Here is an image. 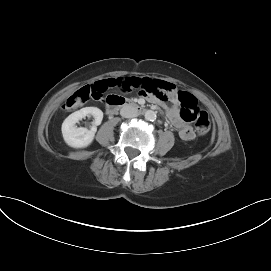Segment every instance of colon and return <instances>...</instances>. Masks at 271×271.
<instances>
[{"label":"colon","instance_id":"obj_1","mask_svg":"<svg viewBox=\"0 0 271 271\" xmlns=\"http://www.w3.org/2000/svg\"><path fill=\"white\" fill-rule=\"evenodd\" d=\"M122 85L120 82L118 86ZM158 89H162L161 87ZM105 89H94L85 86L72 94L64 103L63 108L71 110L87 102L90 98H99ZM129 91V90H128ZM113 96H109L108 99ZM178 102L181 105L180 115L184 121L194 122L196 131L200 135H205L210 131L211 122L208 114L198 107L197 99L188 92L177 93Z\"/></svg>","mask_w":271,"mask_h":271}]
</instances>
